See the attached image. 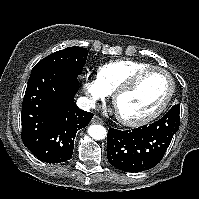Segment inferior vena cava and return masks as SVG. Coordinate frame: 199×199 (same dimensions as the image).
<instances>
[{"label":"inferior vena cava","mask_w":199,"mask_h":199,"mask_svg":"<svg viewBox=\"0 0 199 199\" xmlns=\"http://www.w3.org/2000/svg\"><path fill=\"white\" fill-rule=\"evenodd\" d=\"M77 106L84 110L89 111L90 109H94L96 107V102L94 99H90L87 97H80L76 102Z\"/></svg>","instance_id":"1"}]
</instances>
